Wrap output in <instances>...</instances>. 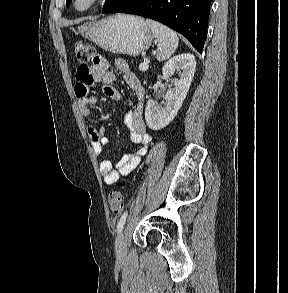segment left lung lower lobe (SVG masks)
Listing matches in <instances>:
<instances>
[{"label": "left lung lower lobe", "mask_w": 288, "mask_h": 293, "mask_svg": "<svg viewBox=\"0 0 288 293\" xmlns=\"http://www.w3.org/2000/svg\"><path fill=\"white\" fill-rule=\"evenodd\" d=\"M212 0H114L102 13H128L161 22L202 53Z\"/></svg>", "instance_id": "1"}]
</instances>
